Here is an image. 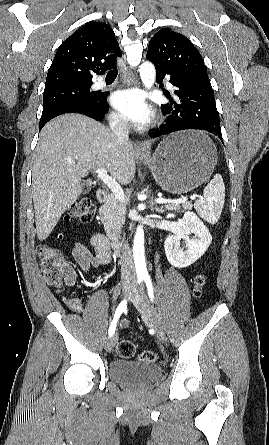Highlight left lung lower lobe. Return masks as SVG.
<instances>
[{"label":"left lung lower lobe","instance_id":"1","mask_svg":"<svg viewBox=\"0 0 269 445\" xmlns=\"http://www.w3.org/2000/svg\"><path fill=\"white\" fill-rule=\"evenodd\" d=\"M169 75V82L177 88L175 102L167 95L170 103L161 105L167 115L166 124L150 134L151 138L179 130H206L222 141L220 121L213 90L208 75L202 73H175L156 68V80L161 83Z\"/></svg>","mask_w":269,"mask_h":445}]
</instances>
